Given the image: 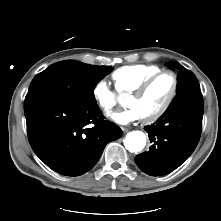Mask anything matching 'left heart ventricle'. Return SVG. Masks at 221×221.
I'll list each match as a JSON object with an SVG mask.
<instances>
[{
  "mask_svg": "<svg viewBox=\"0 0 221 221\" xmlns=\"http://www.w3.org/2000/svg\"><path fill=\"white\" fill-rule=\"evenodd\" d=\"M172 87V77L164 74L159 77L149 88L145 95L130 96L127 101L129 108H135L141 118L155 113L167 100Z\"/></svg>",
  "mask_w": 221,
  "mask_h": 221,
  "instance_id": "left-heart-ventricle-1",
  "label": "left heart ventricle"
}]
</instances>
